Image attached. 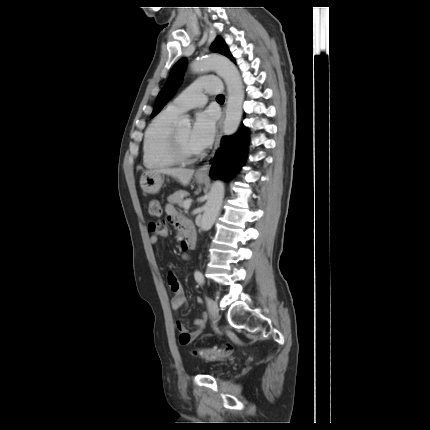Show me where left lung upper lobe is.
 Listing matches in <instances>:
<instances>
[{"mask_svg": "<svg viewBox=\"0 0 430 430\" xmlns=\"http://www.w3.org/2000/svg\"><path fill=\"white\" fill-rule=\"evenodd\" d=\"M211 50L218 52L220 54H223L226 57H228L231 61L235 62V59L231 55L228 46L226 45V43L221 37L216 38V40L211 45ZM185 66H186L185 58H182L173 66L170 72V76L164 88L159 93L156 99L154 110L151 117L158 114L163 108V106L174 96L176 89L181 84V78H182Z\"/></svg>", "mask_w": 430, "mask_h": 430, "instance_id": "left-lung-upper-lobe-1", "label": "left lung upper lobe"}]
</instances>
